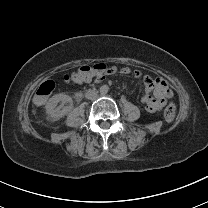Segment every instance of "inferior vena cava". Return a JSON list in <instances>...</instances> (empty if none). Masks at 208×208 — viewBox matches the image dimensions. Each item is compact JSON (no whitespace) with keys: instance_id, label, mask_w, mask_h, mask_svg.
Instances as JSON below:
<instances>
[{"instance_id":"1","label":"inferior vena cava","mask_w":208,"mask_h":208,"mask_svg":"<svg viewBox=\"0 0 208 208\" xmlns=\"http://www.w3.org/2000/svg\"><path fill=\"white\" fill-rule=\"evenodd\" d=\"M85 97H86L87 99H91V100H92V99H95V98L97 97V93H96L95 90L90 89V90L86 91Z\"/></svg>"}]
</instances>
